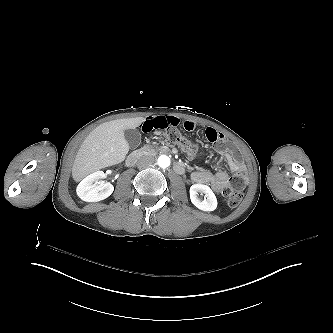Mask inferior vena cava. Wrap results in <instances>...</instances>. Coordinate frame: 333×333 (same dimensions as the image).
Returning <instances> with one entry per match:
<instances>
[{"label": "inferior vena cava", "instance_id": "inferior-vena-cava-1", "mask_svg": "<svg viewBox=\"0 0 333 333\" xmlns=\"http://www.w3.org/2000/svg\"><path fill=\"white\" fill-rule=\"evenodd\" d=\"M155 159L153 156L145 155L139 158L136 165L138 168H143L151 166L154 163Z\"/></svg>", "mask_w": 333, "mask_h": 333}]
</instances>
